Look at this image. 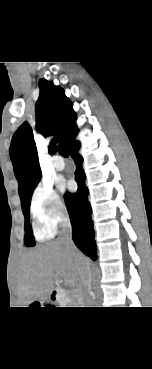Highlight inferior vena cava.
Wrapping results in <instances>:
<instances>
[{
    "instance_id": "inferior-vena-cava-1",
    "label": "inferior vena cava",
    "mask_w": 152,
    "mask_h": 369,
    "mask_svg": "<svg viewBox=\"0 0 152 369\" xmlns=\"http://www.w3.org/2000/svg\"><path fill=\"white\" fill-rule=\"evenodd\" d=\"M59 237L67 252L75 254L77 249L72 241V226L68 216L61 218L59 222ZM81 288H82V302L83 307H93L94 299L91 295V269L88 263L81 262L80 268Z\"/></svg>"
}]
</instances>
